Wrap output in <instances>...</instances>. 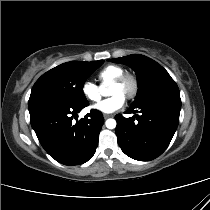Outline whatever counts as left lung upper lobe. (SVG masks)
<instances>
[{
  "mask_svg": "<svg viewBox=\"0 0 210 210\" xmlns=\"http://www.w3.org/2000/svg\"><path fill=\"white\" fill-rule=\"evenodd\" d=\"M112 61L131 66L137 75L138 91L132 106L155 96L180 95L177 84L168 72L151 58L132 54Z\"/></svg>",
  "mask_w": 210,
  "mask_h": 210,
  "instance_id": "obj_1",
  "label": "left lung upper lobe"
}]
</instances>
